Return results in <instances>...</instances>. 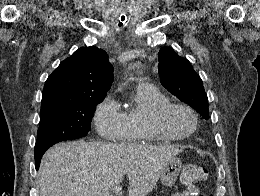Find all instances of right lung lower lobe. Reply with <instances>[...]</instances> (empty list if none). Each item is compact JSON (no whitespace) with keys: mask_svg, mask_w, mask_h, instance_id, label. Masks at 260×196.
<instances>
[{"mask_svg":"<svg viewBox=\"0 0 260 196\" xmlns=\"http://www.w3.org/2000/svg\"><path fill=\"white\" fill-rule=\"evenodd\" d=\"M47 149H48V148L35 150V161H36V167H37V168L39 167V164H40V160H41L42 155L45 153V151H46Z\"/></svg>","mask_w":260,"mask_h":196,"instance_id":"obj_1","label":"right lung lower lobe"}]
</instances>
